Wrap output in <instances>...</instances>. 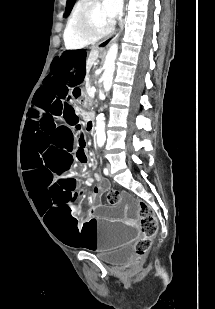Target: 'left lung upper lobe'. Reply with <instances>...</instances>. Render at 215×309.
Masks as SVG:
<instances>
[{
    "instance_id": "5c2ea615",
    "label": "left lung upper lobe",
    "mask_w": 215,
    "mask_h": 309,
    "mask_svg": "<svg viewBox=\"0 0 215 309\" xmlns=\"http://www.w3.org/2000/svg\"><path fill=\"white\" fill-rule=\"evenodd\" d=\"M74 1H75V0H67V6H66L65 16L68 15L70 9L72 8V5H73V2H74Z\"/></svg>"
}]
</instances>
